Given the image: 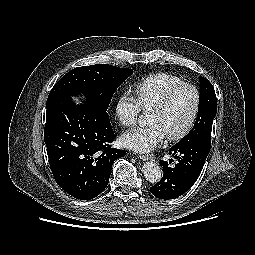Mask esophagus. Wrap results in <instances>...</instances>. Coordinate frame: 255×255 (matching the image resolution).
Instances as JSON below:
<instances>
[{"mask_svg":"<svg viewBox=\"0 0 255 255\" xmlns=\"http://www.w3.org/2000/svg\"><path fill=\"white\" fill-rule=\"evenodd\" d=\"M139 157H140V159H142L144 161H148V160L154 161V159H155V156L152 154H140Z\"/></svg>","mask_w":255,"mask_h":255,"instance_id":"esophagus-1","label":"esophagus"}]
</instances>
